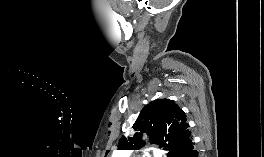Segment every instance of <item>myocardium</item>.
Returning <instances> with one entry per match:
<instances>
[{"instance_id":"1","label":"myocardium","mask_w":264,"mask_h":157,"mask_svg":"<svg viewBox=\"0 0 264 157\" xmlns=\"http://www.w3.org/2000/svg\"><path fill=\"white\" fill-rule=\"evenodd\" d=\"M133 157H141V156H133ZM144 157V156H143Z\"/></svg>"}]
</instances>
